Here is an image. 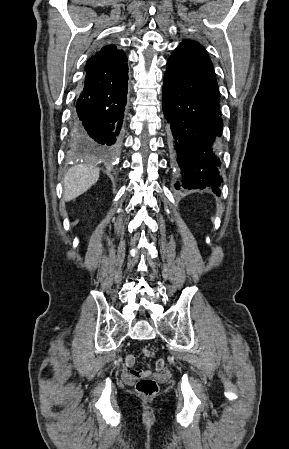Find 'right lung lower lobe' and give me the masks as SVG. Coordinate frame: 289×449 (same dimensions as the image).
Instances as JSON below:
<instances>
[{"label":"right lung lower lobe","mask_w":289,"mask_h":449,"mask_svg":"<svg viewBox=\"0 0 289 449\" xmlns=\"http://www.w3.org/2000/svg\"><path fill=\"white\" fill-rule=\"evenodd\" d=\"M127 64L105 73L86 72L73 115V130L100 153L120 143L128 87Z\"/></svg>","instance_id":"obj_1"}]
</instances>
